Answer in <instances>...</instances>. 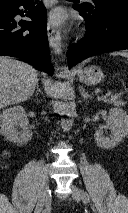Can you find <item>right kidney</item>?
Here are the masks:
<instances>
[{"label": "right kidney", "instance_id": "ca27d5eb", "mask_svg": "<svg viewBox=\"0 0 128 213\" xmlns=\"http://www.w3.org/2000/svg\"><path fill=\"white\" fill-rule=\"evenodd\" d=\"M29 121L22 106L8 108L0 114V131L5 138L15 144H26L32 138Z\"/></svg>", "mask_w": 128, "mask_h": 213}]
</instances>
